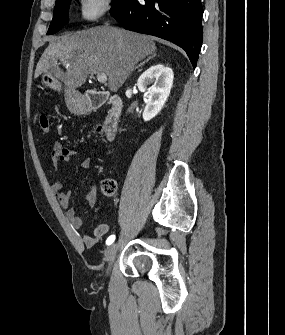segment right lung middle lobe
I'll return each mask as SVG.
<instances>
[{
	"label": "right lung middle lobe",
	"mask_w": 285,
	"mask_h": 335,
	"mask_svg": "<svg viewBox=\"0 0 285 335\" xmlns=\"http://www.w3.org/2000/svg\"><path fill=\"white\" fill-rule=\"evenodd\" d=\"M70 2L71 0H61L60 2L56 3L54 7L53 20L50 24L47 35L58 32L64 25L68 23V9ZM116 2L117 0H114L112 5Z\"/></svg>",
	"instance_id": "obj_1"
}]
</instances>
